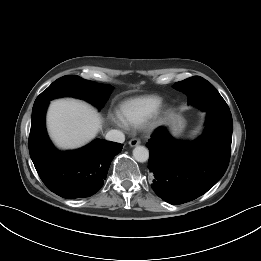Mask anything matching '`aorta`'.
<instances>
[{"label":"aorta","mask_w":261,"mask_h":261,"mask_svg":"<svg viewBox=\"0 0 261 261\" xmlns=\"http://www.w3.org/2000/svg\"><path fill=\"white\" fill-rule=\"evenodd\" d=\"M133 157L138 162H146L149 158V151L144 146H136L133 150Z\"/></svg>","instance_id":"aorta-1"}]
</instances>
